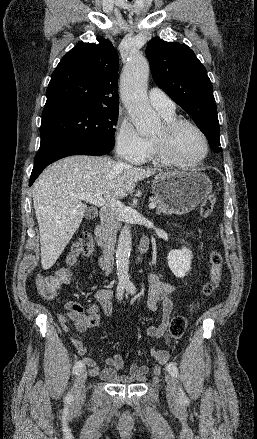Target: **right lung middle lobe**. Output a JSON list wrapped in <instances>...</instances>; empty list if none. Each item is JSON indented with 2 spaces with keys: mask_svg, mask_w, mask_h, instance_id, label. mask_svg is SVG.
Segmentation results:
<instances>
[{
  "mask_svg": "<svg viewBox=\"0 0 257 439\" xmlns=\"http://www.w3.org/2000/svg\"><path fill=\"white\" fill-rule=\"evenodd\" d=\"M118 108H82L58 113L41 121V143L79 139L114 146Z\"/></svg>",
  "mask_w": 257,
  "mask_h": 439,
  "instance_id": "1",
  "label": "right lung middle lobe"
}]
</instances>
